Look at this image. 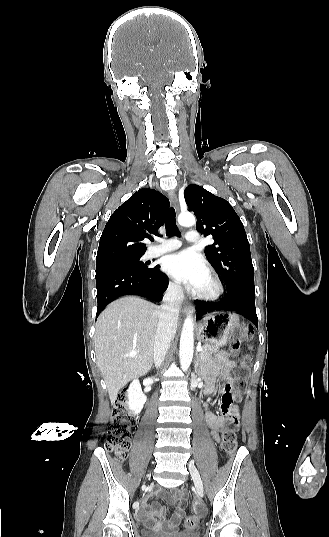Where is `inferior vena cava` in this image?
<instances>
[{"mask_svg":"<svg viewBox=\"0 0 329 537\" xmlns=\"http://www.w3.org/2000/svg\"><path fill=\"white\" fill-rule=\"evenodd\" d=\"M182 301V287L177 284L170 285L163 296L154 340V362L157 368L161 366L174 337Z\"/></svg>","mask_w":329,"mask_h":537,"instance_id":"inferior-vena-cava-1","label":"inferior vena cava"}]
</instances>
